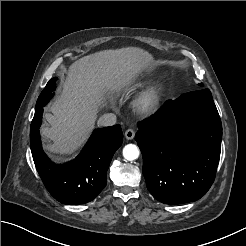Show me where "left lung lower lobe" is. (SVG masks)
Segmentation results:
<instances>
[{
  "label": "left lung lower lobe",
  "instance_id": "1",
  "mask_svg": "<svg viewBox=\"0 0 246 246\" xmlns=\"http://www.w3.org/2000/svg\"><path fill=\"white\" fill-rule=\"evenodd\" d=\"M149 192L165 204L200 199L210 189L220 159L222 124L209 89L167 101L138 123Z\"/></svg>",
  "mask_w": 246,
  "mask_h": 246
}]
</instances>
